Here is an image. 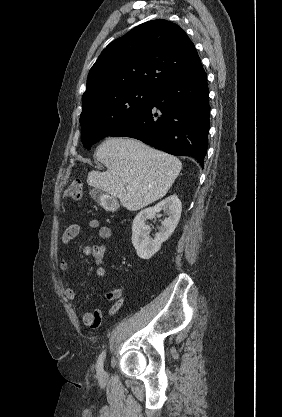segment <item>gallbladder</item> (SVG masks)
I'll return each instance as SVG.
<instances>
[{
  "instance_id": "1",
  "label": "gallbladder",
  "mask_w": 282,
  "mask_h": 417,
  "mask_svg": "<svg viewBox=\"0 0 282 417\" xmlns=\"http://www.w3.org/2000/svg\"><path fill=\"white\" fill-rule=\"evenodd\" d=\"M89 194H91L92 198L97 200L99 204H102L104 200H108V198L105 196L104 190H101V188H91V190H89Z\"/></svg>"
}]
</instances>
